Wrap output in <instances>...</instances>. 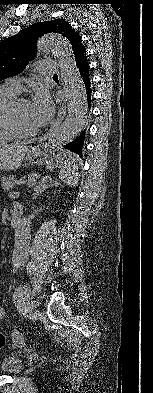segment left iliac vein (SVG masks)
<instances>
[{"mask_svg":"<svg viewBox=\"0 0 153 393\" xmlns=\"http://www.w3.org/2000/svg\"><path fill=\"white\" fill-rule=\"evenodd\" d=\"M24 307H25L26 311H28V312H33L35 309L33 302L28 299L24 302Z\"/></svg>","mask_w":153,"mask_h":393,"instance_id":"obj_1","label":"left iliac vein"}]
</instances>
